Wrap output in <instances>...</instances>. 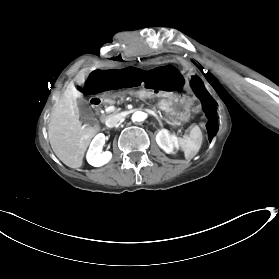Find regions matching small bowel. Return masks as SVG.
I'll return each instance as SVG.
<instances>
[{"instance_id":"small-bowel-1","label":"small bowel","mask_w":279,"mask_h":279,"mask_svg":"<svg viewBox=\"0 0 279 279\" xmlns=\"http://www.w3.org/2000/svg\"><path fill=\"white\" fill-rule=\"evenodd\" d=\"M145 85L159 92H174L184 85L182 75L171 66H161L151 71L145 78Z\"/></svg>"}]
</instances>
